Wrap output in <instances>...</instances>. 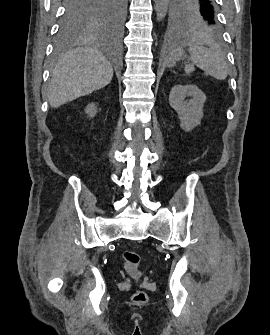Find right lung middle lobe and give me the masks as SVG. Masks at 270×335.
Listing matches in <instances>:
<instances>
[{
	"label": "right lung middle lobe",
	"mask_w": 270,
	"mask_h": 335,
	"mask_svg": "<svg viewBox=\"0 0 270 335\" xmlns=\"http://www.w3.org/2000/svg\"><path fill=\"white\" fill-rule=\"evenodd\" d=\"M126 5V0H67L57 43L63 45L73 36L96 28L119 30Z\"/></svg>",
	"instance_id": "1"
}]
</instances>
